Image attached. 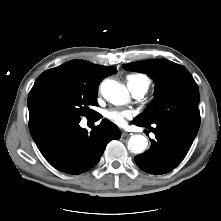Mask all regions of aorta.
<instances>
[{"instance_id": "1", "label": "aorta", "mask_w": 221, "mask_h": 221, "mask_svg": "<svg viewBox=\"0 0 221 221\" xmlns=\"http://www.w3.org/2000/svg\"><path fill=\"white\" fill-rule=\"evenodd\" d=\"M104 98L114 105H123L129 99V93L125 86L114 80H105L101 85ZM148 145L147 139L142 135H133L129 139L128 147L134 153H142Z\"/></svg>"}]
</instances>
